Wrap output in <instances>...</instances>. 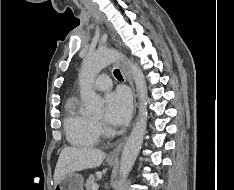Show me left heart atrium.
I'll return each instance as SVG.
<instances>
[{"instance_id":"left-heart-atrium-1","label":"left heart atrium","mask_w":234,"mask_h":190,"mask_svg":"<svg viewBox=\"0 0 234 190\" xmlns=\"http://www.w3.org/2000/svg\"><path fill=\"white\" fill-rule=\"evenodd\" d=\"M105 120L112 126L124 125L131 114V98L126 90L118 89L105 97Z\"/></svg>"}]
</instances>
